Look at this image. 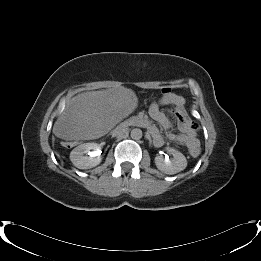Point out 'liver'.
Listing matches in <instances>:
<instances>
[{
    "mask_svg": "<svg viewBox=\"0 0 261 261\" xmlns=\"http://www.w3.org/2000/svg\"><path fill=\"white\" fill-rule=\"evenodd\" d=\"M132 95L124 87L79 94L56 120L53 133L67 141L99 138L118 123L125 110L134 109Z\"/></svg>",
    "mask_w": 261,
    "mask_h": 261,
    "instance_id": "1",
    "label": "liver"
}]
</instances>
